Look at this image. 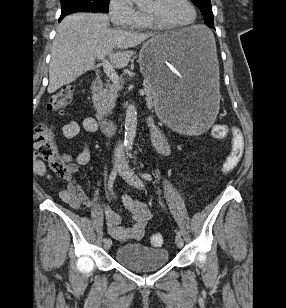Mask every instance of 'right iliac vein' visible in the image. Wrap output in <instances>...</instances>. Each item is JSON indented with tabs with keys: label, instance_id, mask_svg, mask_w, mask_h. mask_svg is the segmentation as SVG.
<instances>
[{
	"label": "right iliac vein",
	"instance_id": "right-iliac-vein-1",
	"mask_svg": "<svg viewBox=\"0 0 286 308\" xmlns=\"http://www.w3.org/2000/svg\"><path fill=\"white\" fill-rule=\"evenodd\" d=\"M114 169H117V165H114ZM112 246V240L111 239H107L106 242H104V248L106 250H108L110 247Z\"/></svg>",
	"mask_w": 286,
	"mask_h": 308
}]
</instances>
